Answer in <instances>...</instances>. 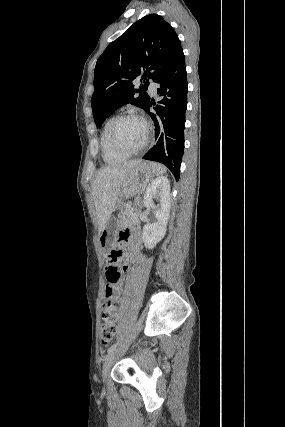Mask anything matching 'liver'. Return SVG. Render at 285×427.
<instances>
[{"instance_id":"6515ba94","label":"liver","mask_w":285,"mask_h":427,"mask_svg":"<svg viewBox=\"0 0 285 427\" xmlns=\"http://www.w3.org/2000/svg\"><path fill=\"white\" fill-rule=\"evenodd\" d=\"M141 161L133 160L123 164L111 165L102 168L92 184V197L96 209L99 234L115 210L116 202L126 183L133 166Z\"/></svg>"}]
</instances>
